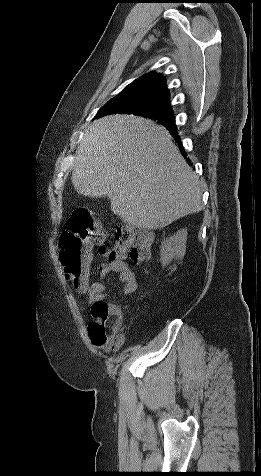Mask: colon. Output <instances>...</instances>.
<instances>
[{"mask_svg": "<svg viewBox=\"0 0 261 476\" xmlns=\"http://www.w3.org/2000/svg\"><path fill=\"white\" fill-rule=\"evenodd\" d=\"M104 232L99 221L85 208L76 209L66 222V230L60 237V260L64 266L66 278L76 287L86 286L91 258L89 249L94 242H100ZM115 245L111 248L100 245V253L110 260H122L126 257L133 264L143 262L150 253V235L146 231H137L132 226L122 225L115 229ZM92 320L89 335L92 342L103 350L117 348L123 341L120 328H108L110 317L114 316L112 307L105 301L96 303L91 310Z\"/></svg>", "mask_w": 261, "mask_h": 476, "instance_id": "obj_1", "label": "colon"}]
</instances>
